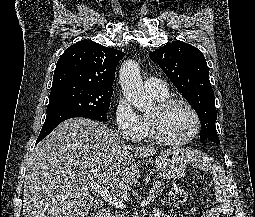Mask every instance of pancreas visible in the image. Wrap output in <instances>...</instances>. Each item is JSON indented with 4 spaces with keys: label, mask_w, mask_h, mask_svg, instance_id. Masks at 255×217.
Returning <instances> with one entry per match:
<instances>
[{
    "label": "pancreas",
    "mask_w": 255,
    "mask_h": 217,
    "mask_svg": "<svg viewBox=\"0 0 255 217\" xmlns=\"http://www.w3.org/2000/svg\"><path fill=\"white\" fill-rule=\"evenodd\" d=\"M164 185L163 182L161 181H157L153 184L152 187V192L151 195H153V197H157L158 195H160L162 193V186ZM126 214L124 212H121L119 210H108L107 212V217H126Z\"/></svg>",
    "instance_id": "cf45deb5"
}]
</instances>
